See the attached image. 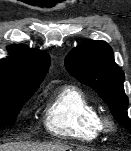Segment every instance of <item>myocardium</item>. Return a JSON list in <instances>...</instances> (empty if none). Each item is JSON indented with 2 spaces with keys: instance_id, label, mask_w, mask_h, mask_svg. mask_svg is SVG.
Returning <instances> with one entry per match:
<instances>
[{
  "instance_id": "1",
  "label": "myocardium",
  "mask_w": 131,
  "mask_h": 151,
  "mask_svg": "<svg viewBox=\"0 0 131 151\" xmlns=\"http://www.w3.org/2000/svg\"><path fill=\"white\" fill-rule=\"evenodd\" d=\"M100 124L106 132H111L116 128L115 121L110 116H100Z\"/></svg>"
}]
</instances>
